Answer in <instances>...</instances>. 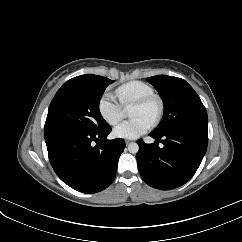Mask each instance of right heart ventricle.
Listing matches in <instances>:
<instances>
[{"mask_svg": "<svg viewBox=\"0 0 242 242\" xmlns=\"http://www.w3.org/2000/svg\"><path fill=\"white\" fill-rule=\"evenodd\" d=\"M152 94V87L142 81H130L115 90V95L123 108H129L137 100Z\"/></svg>", "mask_w": 242, "mask_h": 242, "instance_id": "right-heart-ventricle-1", "label": "right heart ventricle"}]
</instances>
